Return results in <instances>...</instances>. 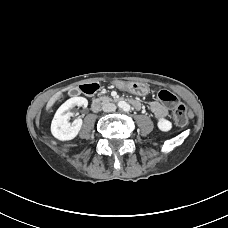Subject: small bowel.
<instances>
[{"instance_id": "small-bowel-1", "label": "small bowel", "mask_w": 228, "mask_h": 228, "mask_svg": "<svg viewBox=\"0 0 228 228\" xmlns=\"http://www.w3.org/2000/svg\"><path fill=\"white\" fill-rule=\"evenodd\" d=\"M132 104L136 108H140V106H141L140 105V102L137 101V100H133L132 101ZM149 107H150L151 112L154 114V116L156 118H163L168 113L167 108L163 104H161L160 102H158V101H151L149 103Z\"/></svg>"}]
</instances>
